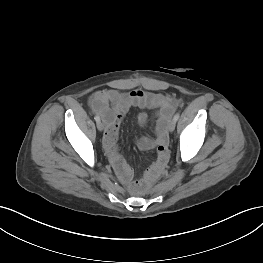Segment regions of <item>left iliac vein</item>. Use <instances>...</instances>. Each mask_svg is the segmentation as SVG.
<instances>
[{"mask_svg":"<svg viewBox=\"0 0 263 263\" xmlns=\"http://www.w3.org/2000/svg\"><path fill=\"white\" fill-rule=\"evenodd\" d=\"M175 126H176V121H175L174 119H172V120L170 121L169 125H168V130H169L170 132H173L174 129H175Z\"/></svg>","mask_w":263,"mask_h":263,"instance_id":"obj_1","label":"left iliac vein"}]
</instances>
